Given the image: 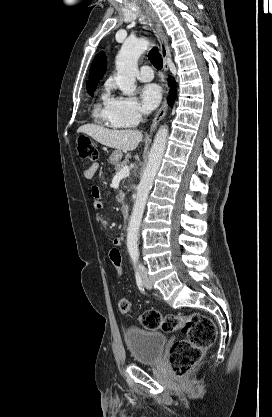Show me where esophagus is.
I'll return each mask as SVG.
<instances>
[{
	"instance_id": "1",
	"label": "esophagus",
	"mask_w": 272,
	"mask_h": 417,
	"mask_svg": "<svg viewBox=\"0 0 272 417\" xmlns=\"http://www.w3.org/2000/svg\"><path fill=\"white\" fill-rule=\"evenodd\" d=\"M144 9L146 10V13L152 23L153 31L160 45V53L163 59L164 70L168 71L169 69L168 60L170 59V49L168 46L167 39L164 36L162 26L158 18L156 17V15L154 14V12L149 7L144 5ZM167 107H168V104H167V100L165 99L153 119V122L150 127V131H154L156 129L159 122L165 116Z\"/></svg>"
}]
</instances>
